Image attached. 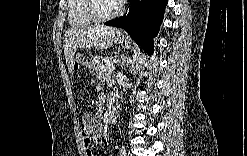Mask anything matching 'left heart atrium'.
<instances>
[{
    "instance_id": "obj_1",
    "label": "left heart atrium",
    "mask_w": 247,
    "mask_h": 156,
    "mask_svg": "<svg viewBox=\"0 0 247 156\" xmlns=\"http://www.w3.org/2000/svg\"><path fill=\"white\" fill-rule=\"evenodd\" d=\"M115 2H116L117 4H123V3H124L123 0H116Z\"/></svg>"
}]
</instances>
